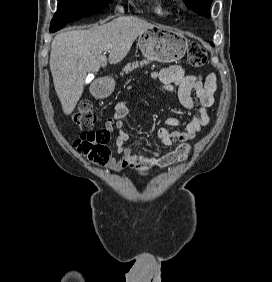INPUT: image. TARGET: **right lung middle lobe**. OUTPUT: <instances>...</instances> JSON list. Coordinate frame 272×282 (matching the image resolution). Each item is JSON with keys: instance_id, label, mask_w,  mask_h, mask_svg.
Instances as JSON below:
<instances>
[{"instance_id": "1", "label": "right lung middle lobe", "mask_w": 272, "mask_h": 282, "mask_svg": "<svg viewBox=\"0 0 272 282\" xmlns=\"http://www.w3.org/2000/svg\"><path fill=\"white\" fill-rule=\"evenodd\" d=\"M110 2L111 0H58V9L50 26L101 12Z\"/></svg>"}]
</instances>
